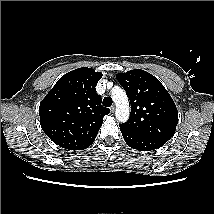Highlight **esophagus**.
Wrapping results in <instances>:
<instances>
[{"instance_id":"esophagus-1","label":"esophagus","mask_w":214,"mask_h":214,"mask_svg":"<svg viewBox=\"0 0 214 214\" xmlns=\"http://www.w3.org/2000/svg\"><path fill=\"white\" fill-rule=\"evenodd\" d=\"M115 109H116L115 106H112V107L110 108V110H111L112 113L115 112Z\"/></svg>"}]
</instances>
